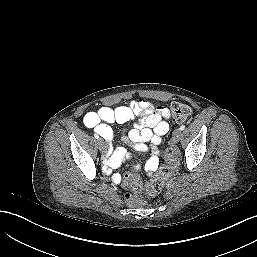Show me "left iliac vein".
<instances>
[{"mask_svg": "<svg viewBox=\"0 0 257 257\" xmlns=\"http://www.w3.org/2000/svg\"><path fill=\"white\" fill-rule=\"evenodd\" d=\"M182 136V131L180 129H175L173 132V141L178 142Z\"/></svg>", "mask_w": 257, "mask_h": 257, "instance_id": "1", "label": "left iliac vein"}]
</instances>
